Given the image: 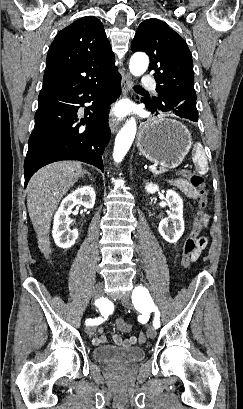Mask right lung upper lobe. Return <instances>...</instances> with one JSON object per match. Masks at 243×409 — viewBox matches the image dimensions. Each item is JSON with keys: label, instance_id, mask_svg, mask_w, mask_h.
<instances>
[{"label": "right lung upper lobe", "instance_id": "obj_1", "mask_svg": "<svg viewBox=\"0 0 243 409\" xmlns=\"http://www.w3.org/2000/svg\"><path fill=\"white\" fill-rule=\"evenodd\" d=\"M114 62L101 21L94 16L80 18L52 42L40 93L98 82L117 71Z\"/></svg>", "mask_w": 243, "mask_h": 409}]
</instances>
